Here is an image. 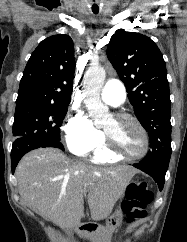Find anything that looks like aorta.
<instances>
[{
  "instance_id": "762f6f07",
  "label": "aorta",
  "mask_w": 187,
  "mask_h": 242,
  "mask_svg": "<svg viewBox=\"0 0 187 242\" xmlns=\"http://www.w3.org/2000/svg\"><path fill=\"white\" fill-rule=\"evenodd\" d=\"M106 77L105 69L101 66H91L86 71L83 81V98L89 116L98 123L106 119L109 109L100 98V92Z\"/></svg>"
}]
</instances>
